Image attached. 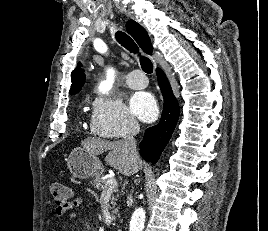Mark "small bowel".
I'll return each instance as SVG.
<instances>
[{
	"mask_svg": "<svg viewBox=\"0 0 268 231\" xmlns=\"http://www.w3.org/2000/svg\"><path fill=\"white\" fill-rule=\"evenodd\" d=\"M83 203L82 198H76L73 202L69 203L66 208H56L55 215L58 218L67 216L69 218H75L77 210L81 207Z\"/></svg>",
	"mask_w": 268,
	"mask_h": 231,
	"instance_id": "1",
	"label": "small bowel"
}]
</instances>
